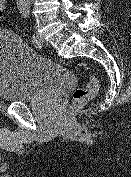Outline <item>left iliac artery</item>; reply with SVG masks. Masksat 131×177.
<instances>
[{
    "instance_id": "obj_1",
    "label": "left iliac artery",
    "mask_w": 131,
    "mask_h": 177,
    "mask_svg": "<svg viewBox=\"0 0 131 177\" xmlns=\"http://www.w3.org/2000/svg\"><path fill=\"white\" fill-rule=\"evenodd\" d=\"M21 13H22V15H23L24 18L29 17V9H28V8H26V7L21 8ZM31 42H32L34 45H37V44H38V39H37V37L35 36V34H32V36H31Z\"/></svg>"
}]
</instances>
